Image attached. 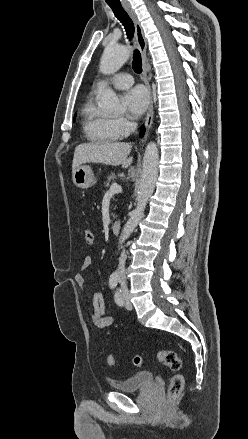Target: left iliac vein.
<instances>
[{"label": "left iliac vein", "instance_id": "1", "mask_svg": "<svg viewBox=\"0 0 248 439\" xmlns=\"http://www.w3.org/2000/svg\"><path fill=\"white\" fill-rule=\"evenodd\" d=\"M122 303L124 304V306L128 309L131 310L132 309V304L129 300V295L127 292L123 293L122 295Z\"/></svg>", "mask_w": 248, "mask_h": 439}]
</instances>
